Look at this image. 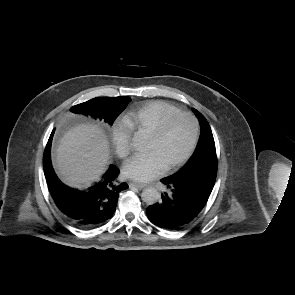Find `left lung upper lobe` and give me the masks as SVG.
<instances>
[{"label":"left lung upper lobe","mask_w":295,"mask_h":295,"mask_svg":"<svg viewBox=\"0 0 295 295\" xmlns=\"http://www.w3.org/2000/svg\"><path fill=\"white\" fill-rule=\"evenodd\" d=\"M196 113L199 118L201 127L200 138L194 154L192 155L186 166L179 172L175 173L176 175L188 173L191 170L199 169L206 165L217 167L215 142L211 128L205 117L197 111Z\"/></svg>","instance_id":"1"}]
</instances>
